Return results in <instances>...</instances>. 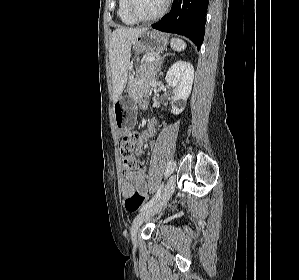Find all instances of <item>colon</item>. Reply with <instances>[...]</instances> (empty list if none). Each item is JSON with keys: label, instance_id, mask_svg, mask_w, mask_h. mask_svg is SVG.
Instances as JSON below:
<instances>
[{"label": "colon", "instance_id": "5ec220e1", "mask_svg": "<svg viewBox=\"0 0 299 280\" xmlns=\"http://www.w3.org/2000/svg\"><path fill=\"white\" fill-rule=\"evenodd\" d=\"M142 135V128H133L129 135L123 137L121 142V155L123 158V172H130L139 167L138 161L133 156V150L137 141V137ZM144 198L139 193L125 199L124 206L127 211L135 212L143 204Z\"/></svg>", "mask_w": 299, "mask_h": 280}]
</instances>
